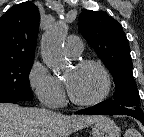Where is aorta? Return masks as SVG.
<instances>
[{
    "label": "aorta",
    "mask_w": 144,
    "mask_h": 137,
    "mask_svg": "<svg viewBox=\"0 0 144 137\" xmlns=\"http://www.w3.org/2000/svg\"><path fill=\"white\" fill-rule=\"evenodd\" d=\"M66 32V24L59 21L42 38L41 55L43 61L54 71H58L65 66L63 47Z\"/></svg>",
    "instance_id": "1"
}]
</instances>
